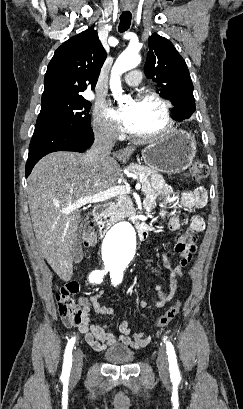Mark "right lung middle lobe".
I'll return each instance as SVG.
<instances>
[{
    "label": "right lung middle lobe",
    "instance_id": "right-lung-middle-lobe-1",
    "mask_svg": "<svg viewBox=\"0 0 243 409\" xmlns=\"http://www.w3.org/2000/svg\"><path fill=\"white\" fill-rule=\"evenodd\" d=\"M90 107L91 103L82 96L42 101L36 126L49 125L78 131L89 129Z\"/></svg>",
    "mask_w": 243,
    "mask_h": 409
}]
</instances>
